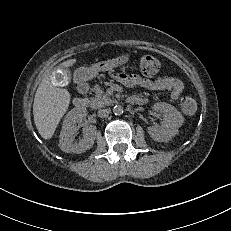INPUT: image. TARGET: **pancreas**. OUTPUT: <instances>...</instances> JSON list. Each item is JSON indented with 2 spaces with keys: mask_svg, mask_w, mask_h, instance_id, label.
Instances as JSON below:
<instances>
[{
  "mask_svg": "<svg viewBox=\"0 0 231 231\" xmlns=\"http://www.w3.org/2000/svg\"><path fill=\"white\" fill-rule=\"evenodd\" d=\"M92 91L95 93V96L90 98V106L92 108H101L110 105L113 102L99 85H95Z\"/></svg>",
  "mask_w": 231,
  "mask_h": 231,
  "instance_id": "1",
  "label": "pancreas"
}]
</instances>
